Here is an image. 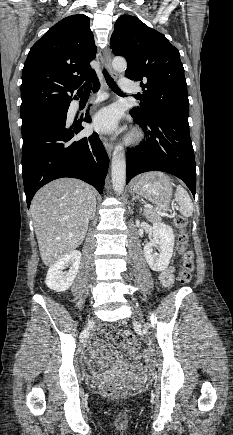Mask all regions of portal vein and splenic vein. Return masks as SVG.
<instances>
[{
	"instance_id": "18ae733b",
	"label": "portal vein and splenic vein",
	"mask_w": 233,
	"mask_h": 435,
	"mask_svg": "<svg viewBox=\"0 0 233 435\" xmlns=\"http://www.w3.org/2000/svg\"><path fill=\"white\" fill-rule=\"evenodd\" d=\"M144 207L148 208V209H152V206H150V205H144ZM159 214L164 215V216L166 215L165 213H161V212H159Z\"/></svg>"
}]
</instances>
